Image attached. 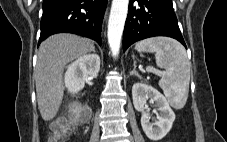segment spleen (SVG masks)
<instances>
[{"label": "spleen", "instance_id": "3e777b00", "mask_svg": "<svg viewBox=\"0 0 227 142\" xmlns=\"http://www.w3.org/2000/svg\"><path fill=\"white\" fill-rule=\"evenodd\" d=\"M135 49L155 53L157 66L165 69L159 86L171 106L175 109L183 108L188 98L190 82V63L185 48L176 40L155 37L136 43Z\"/></svg>", "mask_w": 227, "mask_h": 142}]
</instances>
